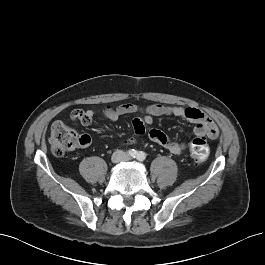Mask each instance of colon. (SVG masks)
<instances>
[{"label": "colon", "mask_w": 265, "mask_h": 265, "mask_svg": "<svg viewBox=\"0 0 265 265\" xmlns=\"http://www.w3.org/2000/svg\"><path fill=\"white\" fill-rule=\"evenodd\" d=\"M82 143V136L61 122L55 123L50 131L52 153L62 156L77 148ZM190 153L195 162H204L209 155V146L204 137L193 136L190 140Z\"/></svg>", "instance_id": "5ec220e1"}]
</instances>
